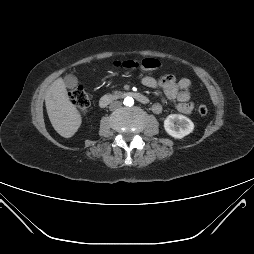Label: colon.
<instances>
[{
    "mask_svg": "<svg viewBox=\"0 0 254 254\" xmlns=\"http://www.w3.org/2000/svg\"><path fill=\"white\" fill-rule=\"evenodd\" d=\"M116 65H121L126 68L140 69V70H155L160 68L161 63L156 58H145L139 61L126 60L115 62ZM70 98L75 107L81 112L86 113L91 105V100L88 93L82 86H75L70 92ZM198 113L205 116L208 113L207 106L201 104L198 106Z\"/></svg>",
    "mask_w": 254,
    "mask_h": 254,
    "instance_id": "1",
    "label": "colon"
}]
</instances>
